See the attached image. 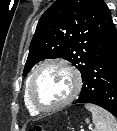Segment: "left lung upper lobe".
<instances>
[{
    "label": "left lung upper lobe",
    "instance_id": "obj_1",
    "mask_svg": "<svg viewBox=\"0 0 117 131\" xmlns=\"http://www.w3.org/2000/svg\"><path fill=\"white\" fill-rule=\"evenodd\" d=\"M111 25V13L103 0H56L38 22L23 75L41 60L63 58L83 78L106 45Z\"/></svg>",
    "mask_w": 117,
    "mask_h": 131
}]
</instances>
